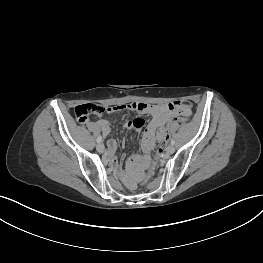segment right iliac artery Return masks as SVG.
Masks as SVG:
<instances>
[{"label":"right iliac artery","instance_id":"right-iliac-artery-1","mask_svg":"<svg viewBox=\"0 0 263 263\" xmlns=\"http://www.w3.org/2000/svg\"><path fill=\"white\" fill-rule=\"evenodd\" d=\"M101 140H102V137H101V136H98L96 141H97V143H100Z\"/></svg>","mask_w":263,"mask_h":263}]
</instances>
